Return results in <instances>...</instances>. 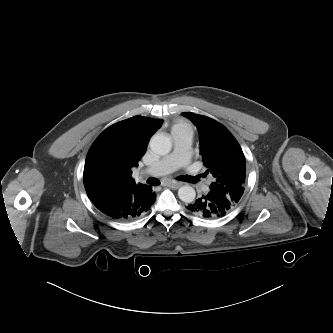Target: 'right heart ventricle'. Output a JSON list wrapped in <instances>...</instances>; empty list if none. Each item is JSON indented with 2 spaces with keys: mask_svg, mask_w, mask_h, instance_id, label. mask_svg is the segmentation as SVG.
I'll return each instance as SVG.
<instances>
[{
  "mask_svg": "<svg viewBox=\"0 0 333 333\" xmlns=\"http://www.w3.org/2000/svg\"><path fill=\"white\" fill-rule=\"evenodd\" d=\"M187 126L184 124H177L173 127V131L177 130V129H181V128H186Z\"/></svg>",
  "mask_w": 333,
  "mask_h": 333,
  "instance_id": "right-heart-ventricle-1",
  "label": "right heart ventricle"
}]
</instances>
